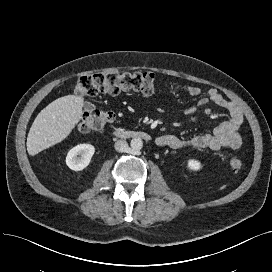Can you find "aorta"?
Instances as JSON below:
<instances>
[{"label": "aorta", "mask_w": 272, "mask_h": 272, "mask_svg": "<svg viewBox=\"0 0 272 272\" xmlns=\"http://www.w3.org/2000/svg\"><path fill=\"white\" fill-rule=\"evenodd\" d=\"M130 146L133 151L139 152L143 147V141L141 138H133L130 142Z\"/></svg>", "instance_id": "aorta-1"}]
</instances>
